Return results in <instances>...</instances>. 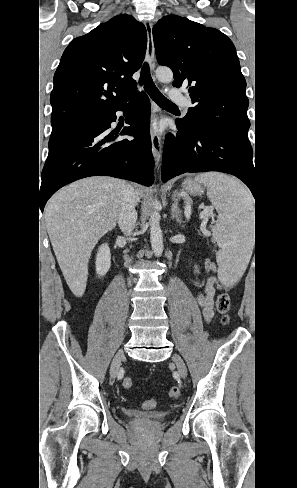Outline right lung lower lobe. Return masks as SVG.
<instances>
[{"label": "right lung lower lobe", "mask_w": 297, "mask_h": 488, "mask_svg": "<svg viewBox=\"0 0 297 488\" xmlns=\"http://www.w3.org/2000/svg\"><path fill=\"white\" fill-rule=\"evenodd\" d=\"M125 112L130 124L120 133L110 131L116 111ZM150 102L147 95L134 92L112 112L81 124L49 142V154L42 171L40 211L61 187L90 176H112L145 186L154 181L149 135ZM132 135L134 139H118Z\"/></svg>", "instance_id": "1"}]
</instances>
